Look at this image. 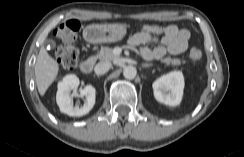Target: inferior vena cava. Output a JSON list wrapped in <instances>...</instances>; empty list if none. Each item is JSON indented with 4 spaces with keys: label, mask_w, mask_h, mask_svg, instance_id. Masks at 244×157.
I'll return each instance as SVG.
<instances>
[{
    "label": "inferior vena cava",
    "mask_w": 244,
    "mask_h": 157,
    "mask_svg": "<svg viewBox=\"0 0 244 157\" xmlns=\"http://www.w3.org/2000/svg\"><path fill=\"white\" fill-rule=\"evenodd\" d=\"M111 66L110 62H100L95 66L94 71L97 75H103L110 70Z\"/></svg>",
    "instance_id": "1"
}]
</instances>
